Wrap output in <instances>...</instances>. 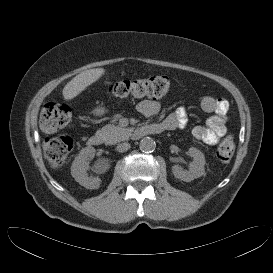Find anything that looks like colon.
I'll list each match as a JSON object with an SVG mask.
<instances>
[{"label":"colon","instance_id":"1","mask_svg":"<svg viewBox=\"0 0 273 273\" xmlns=\"http://www.w3.org/2000/svg\"><path fill=\"white\" fill-rule=\"evenodd\" d=\"M172 86L165 76L121 80L111 84L108 93L116 98L129 96L137 98H161L167 94ZM71 120L70 108L61 103L48 102L41 111L40 126L47 133L56 132L66 127ZM73 150V142L68 137L48 138L44 142V153L47 161L53 167L65 164ZM235 139L227 136L218 146L216 155L221 163H229L234 155Z\"/></svg>","mask_w":273,"mask_h":273}]
</instances>
